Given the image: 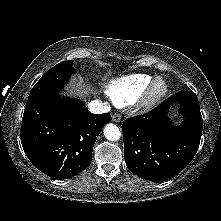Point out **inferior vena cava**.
Returning <instances> with one entry per match:
<instances>
[{
	"mask_svg": "<svg viewBox=\"0 0 221 221\" xmlns=\"http://www.w3.org/2000/svg\"><path fill=\"white\" fill-rule=\"evenodd\" d=\"M88 108L90 112L94 114L108 113L110 111V106L108 105V103L106 102L103 103L102 101L99 100L91 101L88 104Z\"/></svg>",
	"mask_w": 221,
	"mask_h": 221,
	"instance_id": "inferior-vena-cava-1",
	"label": "inferior vena cava"
}]
</instances>
